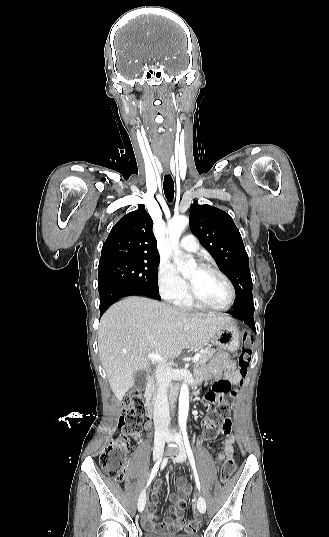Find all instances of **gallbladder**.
<instances>
[{
	"mask_svg": "<svg viewBox=\"0 0 329 537\" xmlns=\"http://www.w3.org/2000/svg\"><path fill=\"white\" fill-rule=\"evenodd\" d=\"M147 383V372L145 370H140L136 372L134 376V383L132 390L143 391Z\"/></svg>",
	"mask_w": 329,
	"mask_h": 537,
	"instance_id": "obj_1",
	"label": "gallbladder"
}]
</instances>
